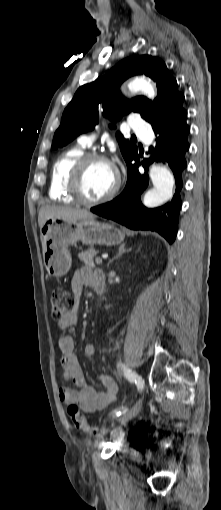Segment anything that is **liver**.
Here are the masks:
<instances>
[{"label":"liver","mask_w":221,"mask_h":510,"mask_svg":"<svg viewBox=\"0 0 221 510\" xmlns=\"http://www.w3.org/2000/svg\"><path fill=\"white\" fill-rule=\"evenodd\" d=\"M95 215L86 209L72 208L67 206L46 205L41 207L38 216L40 229L49 218H60L65 221H78L95 219Z\"/></svg>","instance_id":"6515ba94"}]
</instances>
